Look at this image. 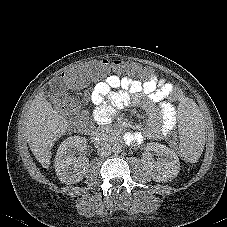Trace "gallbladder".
Wrapping results in <instances>:
<instances>
[{
	"instance_id": "1",
	"label": "gallbladder",
	"mask_w": 227,
	"mask_h": 227,
	"mask_svg": "<svg viewBox=\"0 0 227 227\" xmlns=\"http://www.w3.org/2000/svg\"><path fill=\"white\" fill-rule=\"evenodd\" d=\"M50 91L65 98L67 87L64 85L61 79L53 78L49 84Z\"/></svg>"
}]
</instances>
